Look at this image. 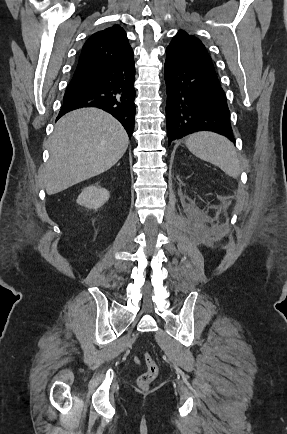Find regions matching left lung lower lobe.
Masks as SVG:
<instances>
[{
    "label": "left lung lower lobe",
    "instance_id": "obj_1",
    "mask_svg": "<svg viewBox=\"0 0 287 434\" xmlns=\"http://www.w3.org/2000/svg\"><path fill=\"white\" fill-rule=\"evenodd\" d=\"M164 67L169 143L203 130L234 142L226 96L214 67L168 54Z\"/></svg>",
    "mask_w": 287,
    "mask_h": 434
}]
</instances>
